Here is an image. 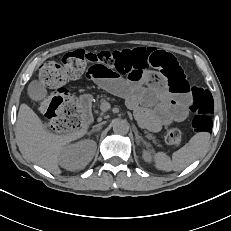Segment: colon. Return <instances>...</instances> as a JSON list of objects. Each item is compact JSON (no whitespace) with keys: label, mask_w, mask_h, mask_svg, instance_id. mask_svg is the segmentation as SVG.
Wrapping results in <instances>:
<instances>
[{"label":"colon","mask_w":231,"mask_h":231,"mask_svg":"<svg viewBox=\"0 0 231 231\" xmlns=\"http://www.w3.org/2000/svg\"><path fill=\"white\" fill-rule=\"evenodd\" d=\"M102 65L127 76H138L154 69L166 80L173 93L188 95L189 109L193 113L192 126L196 132L208 131L212 125L213 99L208 89L190 85L180 61L172 54L153 48H134L114 51L88 52L82 49L66 53L62 64L48 61L40 67L39 75L44 85L56 89L40 105L47 118L48 129L65 132L81 125L76 101L63 86L72 78L82 76L89 66ZM183 130L171 128L165 136L169 145L181 143Z\"/></svg>","instance_id":"1"}]
</instances>
